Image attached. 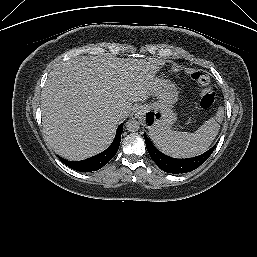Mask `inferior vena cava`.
Segmentation results:
<instances>
[{
  "label": "inferior vena cava",
  "instance_id": "602c4592",
  "mask_svg": "<svg viewBox=\"0 0 257 257\" xmlns=\"http://www.w3.org/2000/svg\"><path fill=\"white\" fill-rule=\"evenodd\" d=\"M120 115H116L114 118L116 119V120H119L120 119Z\"/></svg>",
  "mask_w": 257,
  "mask_h": 257
}]
</instances>
